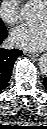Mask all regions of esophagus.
Masks as SVG:
<instances>
[{
  "label": "esophagus",
  "instance_id": "esophagus-1",
  "mask_svg": "<svg viewBox=\"0 0 47 129\" xmlns=\"http://www.w3.org/2000/svg\"><path fill=\"white\" fill-rule=\"evenodd\" d=\"M23 53H24L25 55H29V56H33V57L39 56L38 53H34V52H31V51H23Z\"/></svg>",
  "mask_w": 47,
  "mask_h": 129
}]
</instances>
